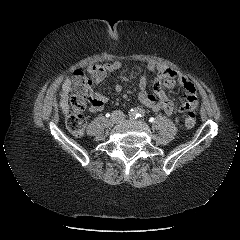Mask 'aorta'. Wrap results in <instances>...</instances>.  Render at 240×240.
I'll return each instance as SVG.
<instances>
[{"mask_svg":"<svg viewBox=\"0 0 240 240\" xmlns=\"http://www.w3.org/2000/svg\"><path fill=\"white\" fill-rule=\"evenodd\" d=\"M135 115H136V111H134V110L129 111V116L130 117H134Z\"/></svg>","mask_w":240,"mask_h":240,"instance_id":"1","label":"aorta"}]
</instances>
